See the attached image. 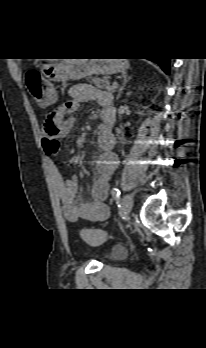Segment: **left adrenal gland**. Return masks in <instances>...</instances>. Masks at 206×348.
I'll list each match as a JSON object with an SVG mask.
<instances>
[{
    "mask_svg": "<svg viewBox=\"0 0 206 348\" xmlns=\"http://www.w3.org/2000/svg\"><path fill=\"white\" fill-rule=\"evenodd\" d=\"M131 79V77L130 76H128V75H124L123 76V83H122V86L120 87V89H119V91H118V95H117V100L120 98V96H121V94H122V92H123V90H124V87L126 86V84L128 83V81Z\"/></svg>",
    "mask_w": 206,
    "mask_h": 348,
    "instance_id": "1",
    "label": "left adrenal gland"
}]
</instances>
